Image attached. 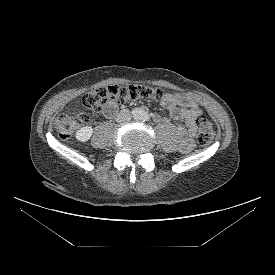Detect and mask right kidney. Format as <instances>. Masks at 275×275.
Here are the masks:
<instances>
[{"instance_id":"1","label":"right kidney","mask_w":275,"mask_h":275,"mask_svg":"<svg viewBox=\"0 0 275 275\" xmlns=\"http://www.w3.org/2000/svg\"><path fill=\"white\" fill-rule=\"evenodd\" d=\"M92 134H93V128L91 126H86V127L80 128L76 132L75 137L80 142H86L91 138Z\"/></svg>"}]
</instances>
